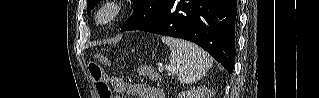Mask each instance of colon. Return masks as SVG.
Returning a JSON list of instances; mask_svg holds the SVG:
<instances>
[{"instance_id": "5ec220e1", "label": "colon", "mask_w": 319, "mask_h": 98, "mask_svg": "<svg viewBox=\"0 0 319 98\" xmlns=\"http://www.w3.org/2000/svg\"><path fill=\"white\" fill-rule=\"evenodd\" d=\"M107 59L103 56L99 58V62H91L88 66L89 73L96 83L97 91L100 98H111V91L106 82L105 72L102 67V64H105ZM140 74L149 78L150 80L156 81L158 79V75L156 71L148 65H142L139 68Z\"/></svg>"}]
</instances>
